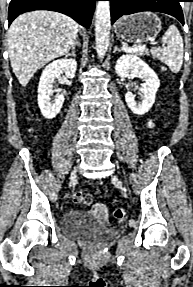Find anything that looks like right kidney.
<instances>
[{"label":"right kidney","instance_id":"obj_1","mask_svg":"<svg viewBox=\"0 0 193 287\" xmlns=\"http://www.w3.org/2000/svg\"><path fill=\"white\" fill-rule=\"evenodd\" d=\"M76 69V60L63 58L53 61L43 70L38 86V106L46 119L56 117L64 103L63 94H57L53 103L50 101L54 93L52 89L54 80L60 78L63 73L67 78L72 79Z\"/></svg>","mask_w":193,"mask_h":287}]
</instances>
